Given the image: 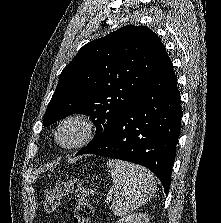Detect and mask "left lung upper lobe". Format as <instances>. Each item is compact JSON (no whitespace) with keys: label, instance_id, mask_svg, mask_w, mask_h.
I'll list each match as a JSON object with an SVG mask.
<instances>
[{"label":"left lung upper lobe","instance_id":"left-lung-upper-lobe-1","mask_svg":"<svg viewBox=\"0 0 221 223\" xmlns=\"http://www.w3.org/2000/svg\"><path fill=\"white\" fill-rule=\"evenodd\" d=\"M167 57L160 38L143 26H125L87 43L61 72L43 125L74 113L89 115L97 131L81 154L110 133Z\"/></svg>","mask_w":221,"mask_h":223}]
</instances>
